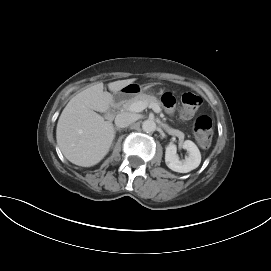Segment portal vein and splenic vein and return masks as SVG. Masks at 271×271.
Masks as SVG:
<instances>
[{
    "label": "portal vein and splenic vein",
    "mask_w": 271,
    "mask_h": 271,
    "mask_svg": "<svg viewBox=\"0 0 271 271\" xmlns=\"http://www.w3.org/2000/svg\"><path fill=\"white\" fill-rule=\"evenodd\" d=\"M147 107H148V105L145 102L138 101V102H135V103L131 104L128 110L131 111V112H141L144 109H146ZM149 107L152 108V110L155 113H160L161 112L160 107L155 105V104L150 105Z\"/></svg>",
    "instance_id": "1"
}]
</instances>
